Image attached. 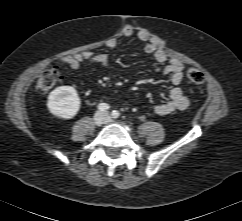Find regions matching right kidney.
I'll return each mask as SVG.
<instances>
[{"label": "right kidney", "instance_id": "1", "mask_svg": "<svg viewBox=\"0 0 242 221\" xmlns=\"http://www.w3.org/2000/svg\"><path fill=\"white\" fill-rule=\"evenodd\" d=\"M80 104L81 101L75 88L60 86L49 94L47 107L56 117L71 119L78 113Z\"/></svg>", "mask_w": 242, "mask_h": 221}]
</instances>
